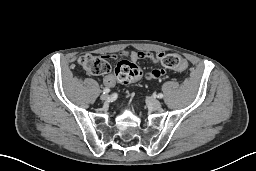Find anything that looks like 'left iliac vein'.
Segmentation results:
<instances>
[{"label": "left iliac vein", "instance_id": "left-iliac-vein-1", "mask_svg": "<svg viewBox=\"0 0 256 171\" xmlns=\"http://www.w3.org/2000/svg\"><path fill=\"white\" fill-rule=\"evenodd\" d=\"M147 104L151 109L154 110H157L161 107L160 101L154 98H147Z\"/></svg>", "mask_w": 256, "mask_h": 171}]
</instances>
